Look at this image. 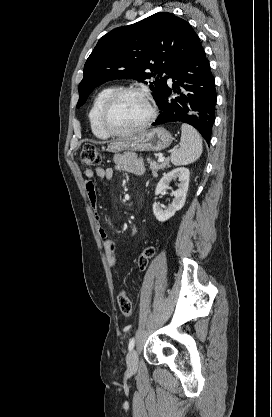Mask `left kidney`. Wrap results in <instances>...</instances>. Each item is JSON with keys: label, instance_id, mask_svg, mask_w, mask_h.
I'll return each mask as SVG.
<instances>
[{"label": "left kidney", "instance_id": "obj_1", "mask_svg": "<svg viewBox=\"0 0 272 417\" xmlns=\"http://www.w3.org/2000/svg\"><path fill=\"white\" fill-rule=\"evenodd\" d=\"M189 177V169L180 167L164 174V176L160 179L155 189V195H159L163 190L167 189L172 180L178 178L180 183L178 185V189L172 192L174 199L167 209L163 210L157 202L153 204V213L158 221H167L184 206L189 186Z\"/></svg>", "mask_w": 272, "mask_h": 417}]
</instances>
